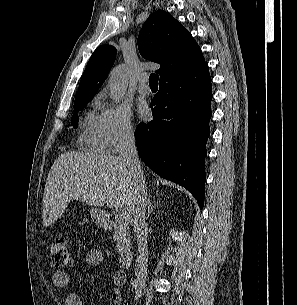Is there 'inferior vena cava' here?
<instances>
[{
    "label": "inferior vena cava",
    "instance_id": "obj_1",
    "mask_svg": "<svg viewBox=\"0 0 297 305\" xmlns=\"http://www.w3.org/2000/svg\"><path fill=\"white\" fill-rule=\"evenodd\" d=\"M120 156L127 164L129 171L135 180V190L132 202V212L134 215V231L138 245V256L135 268V279L133 282L135 298L142 297L145 290L147 267H148V242H147V187L145 177L138 158L135 137L130 128L122 131L120 139Z\"/></svg>",
    "mask_w": 297,
    "mask_h": 305
}]
</instances>
